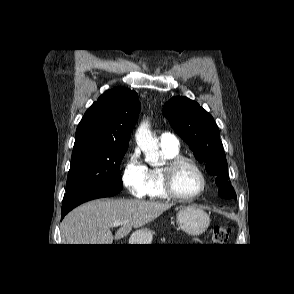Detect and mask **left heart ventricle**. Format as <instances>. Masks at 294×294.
I'll list each match as a JSON object with an SVG mask.
<instances>
[{"instance_id":"1","label":"left heart ventricle","mask_w":294,"mask_h":294,"mask_svg":"<svg viewBox=\"0 0 294 294\" xmlns=\"http://www.w3.org/2000/svg\"><path fill=\"white\" fill-rule=\"evenodd\" d=\"M174 186L180 194L190 196L200 189L201 179L191 166L183 165L176 172Z\"/></svg>"}]
</instances>
